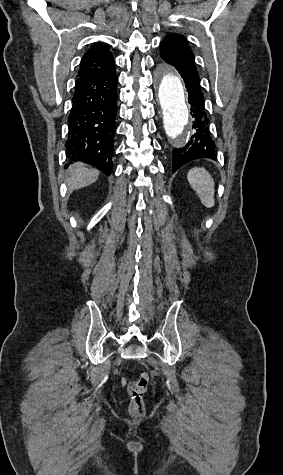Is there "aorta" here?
<instances>
[{"label": "aorta", "mask_w": 283, "mask_h": 475, "mask_svg": "<svg viewBox=\"0 0 283 475\" xmlns=\"http://www.w3.org/2000/svg\"><path fill=\"white\" fill-rule=\"evenodd\" d=\"M158 97L169 141L176 147L184 146L190 138L192 123L182 81L172 70H159Z\"/></svg>", "instance_id": "1"}]
</instances>
